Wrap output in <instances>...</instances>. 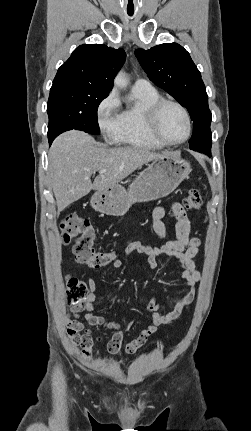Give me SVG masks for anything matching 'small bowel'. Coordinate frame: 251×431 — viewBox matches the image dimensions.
<instances>
[{
    "label": "small bowel",
    "instance_id": "c3829d8e",
    "mask_svg": "<svg viewBox=\"0 0 251 431\" xmlns=\"http://www.w3.org/2000/svg\"><path fill=\"white\" fill-rule=\"evenodd\" d=\"M171 210L176 219L175 239L166 240L162 245L157 247L132 243L124 249L123 253L129 255L136 251L144 254L147 257V264L150 269L158 267V258H173L182 270L181 276L186 281L188 291L177 302L174 309L167 314L161 313L160 305L155 298L149 300L147 310L151 313L150 323L125 345L124 350L127 354L136 352L147 341L148 337L157 331L159 326L174 323L183 317L185 311L189 309L194 300L195 288L201 278V272L197 269L194 262L195 257L200 251V240L190 236L191 224L183 207L179 203H173ZM164 216V207L158 206L153 210V229L161 239H166L167 237L166 227L162 221ZM123 266V261L115 260L110 267L118 269ZM87 284L89 292L85 303L82 306H72L66 318L67 332L71 341L73 344L81 347L75 353V356L78 359L84 358L79 363L82 369H85L88 366L89 359L94 357V352L91 350L93 338L91 337L89 327L101 326L114 331L107 344V349L112 354L120 351L124 338V331L118 323L109 321L95 311L94 303L97 289L95 280L89 278ZM82 311H85L83 318L80 317ZM97 340L100 341L101 338L98 337Z\"/></svg>",
    "mask_w": 251,
    "mask_h": 431
}]
</instances>
